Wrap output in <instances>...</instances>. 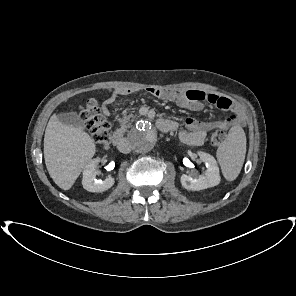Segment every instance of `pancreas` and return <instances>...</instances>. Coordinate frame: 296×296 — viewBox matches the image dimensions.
Here are the masks:
<instances>
[{"label": "pancreas", "instance_id": "obj_1", "mask_svg": "<svg viewBox=\"0 0 296 296\" xmlns=\"http://www.w3.org/2000/svg\"><path fill=\"white\" fill-rule=\"evenodd\" d=\"M131 118H133V116H124L123 118L119 119L121 124L120 130L122 132H126L127 129L130 128L131 124L129 122L131 121Z\"/></svg>", "mask_w": 296, "mask_h": 296}]
</instances>
